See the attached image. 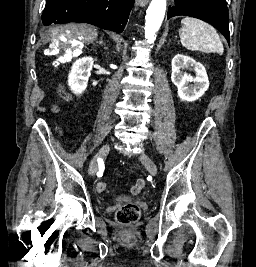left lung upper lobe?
<instances>
[{"instance_id":"1","label":"left lung upper lobe","mask_w":256,"mask_h":267,"mask_svg":"<svg viewBox=\"0 0 256 267\" xmlns=\"http://www.w3.org/2000/svg\"><path fill=\"white\" fill-rule=\"evenodd\" d=\"M176 6L168 11L167 19L185 15L201 19L218 29L229 41L228 9L225 0H175Z\"/></svg>"}]
</instances>
